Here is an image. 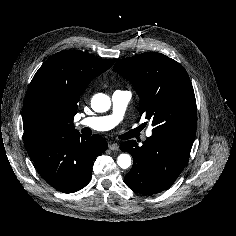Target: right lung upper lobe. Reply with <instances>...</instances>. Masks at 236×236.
<instances>
[{"label":"right lung upper lobe","mask_w":236,"mask_h":236,"mask_svg":"<svg viewBox=\"0 0 236 236\" xmlns=\"http://www.w3.org/2000/svg\"><path fill=\"white\" fill-rule=\"evenodd\" d=\"M114 62L80 51L51 56L34 75L25 96L22 113L26 149L76 132L72 121L80 95Z\"/></svg>","instance_id":"obj_1"}]
</instances>
